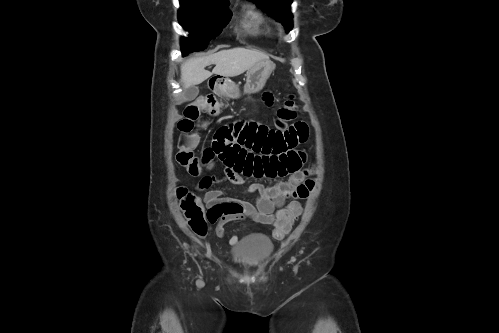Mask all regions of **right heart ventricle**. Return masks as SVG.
Wrapping results in <instances>:
<instances>
[{
  "mask_svg": "<svg viewBox=\"0 0 499 333\" xmlns=\"http://www.w3.org/2000/svg\"><path fill=\"white\" fill-rule=\"evenodd\" d=\"M243 24L248 31L255 35L268 34L271 31V27L257 10H248L245 14Z\"/></svg>",
  "mask_w": 499,
  "mask_h": 333,
  "instance_id": "right-heart-ventricle-1",
  "label": "right heart ventricle"
}]
</instances>
